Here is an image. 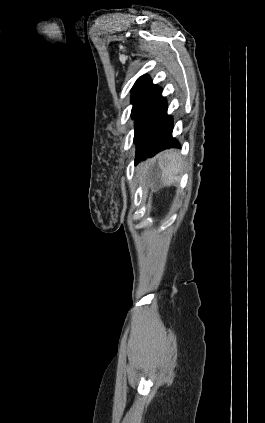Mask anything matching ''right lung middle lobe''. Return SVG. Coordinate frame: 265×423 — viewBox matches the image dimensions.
Masks as SVG:
<instances>
[{"label": "right lung middle lobe", "instance_id": "dd1d6c3e", "mask_svg": "<svg viewBox=\"0 0 265 423\" xmlns=\"http://www.w3.org/2000/svg\"><path fill=\"white\" fill-rule=\"evenodd\" d=\"M147 97H132L131 103L133 104L131 116L134 119L138 111L141 109L145 103Z\"/></svg>", "mask_w": 265, "mask_h": 423}]
</instances>
